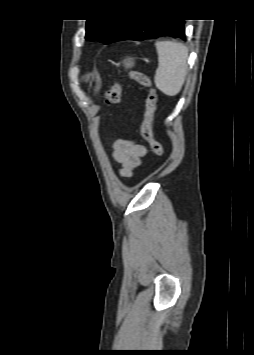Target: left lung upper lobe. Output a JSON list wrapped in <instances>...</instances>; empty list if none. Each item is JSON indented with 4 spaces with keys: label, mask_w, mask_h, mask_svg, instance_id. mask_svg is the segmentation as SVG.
Returning a JSON list of instances; mask_svg holds the SVG:
<instances>
[{
    "label": "left lung upper lobe",
    "mask_w": 254,
    "mask_h": 355,
    "mask_svg": "<svg viewBox=\"0 0 254 355\" xmlns=\"http://www.w3.org/2000/svg\"><path fill=\"white\" fill-rule=\"evenodd\" d=\"M129 20H87L85 38L86 40H98L106 44L112 43L120 37Z\"/></svg>",
    "instance_id": "5c2ea615"
}]
</instances>
